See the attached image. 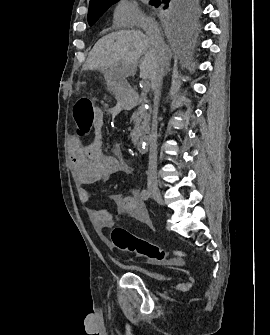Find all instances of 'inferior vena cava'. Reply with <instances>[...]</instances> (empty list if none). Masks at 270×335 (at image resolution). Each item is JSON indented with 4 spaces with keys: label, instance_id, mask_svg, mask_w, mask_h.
I'll return each mask as SVG.
<instances>
[{
    "label": "inferior vena cava",
    "instance_id": "obj_1",
    "mask_svg": "<svg viewBox=\"0 0 270 335\" xmlns=\"http://www.w3.org/2000/svg\"><path fill=\"white\" fill-rule=\"evenodd\" d=\"M143 30L146 32L150 44L153 46H160L164 44L163 38L160 34L158 24H156L153 18H144L142 22ZM165 72L164 68L157 70L153 78H151V88L154 92V106L158 108L160 90L162 86V80ZM149 166L147 171V183L148 185H155L157 187V122L153 118L151 132L149 134Z\"/></svg>",
    "mask_w": 270,
    "mask_h": 335
}]
</instances>
